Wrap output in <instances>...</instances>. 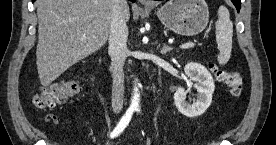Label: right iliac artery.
<instances>
[{
	"label": "right iliac artery",
	"mask_w": 276,
	"mask_h": 145,
	"mask_svg": "<svg viewBox=\"0 0 276 145\" xmlns=\"http://www.w3.org/2000/svg\"><path fill=\"white\" fill-rule=\"evenodd\" d=\"M134 110H136V109H134L133 107L128 108V110L126 111L124 116L120 119V121L117 124V126L115 127V129L111 132L110 138H115L123 132V130L129 124Z\"/></svg>",
	"instance_id": "right-iliac-artery-1"
}]
</instances>
